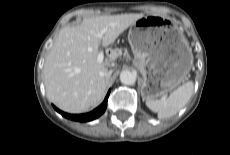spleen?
<instances>
[{"mask_svg":"<svg viewBox=\"0 0 230 155\" xmlns=\"http://www.w3.org/2000/svg\"><path fill=\"white\" fill-rule=\"evenodd\" d=\"M194 90L193 81H188L174 90L169 97L163 96L156 100H146L147 107L158 113L160 119L177 114L190 100Z\"/></svg>","mask_w":230,"mask_h":155,"instance_id":"1","label":"spleen"}]
</instances>
